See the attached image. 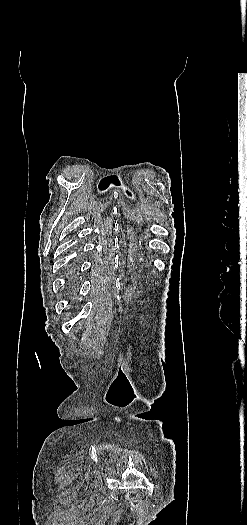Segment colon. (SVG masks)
<instances>
[{"label":"colon","instance_id":"5ec220e1","mask_svg":"<svg viewBox=\"0 0 247 525\" xmlns=\"http://www.w3.org/2000/svg\"><path fill=\"white\" fill-rule=\"evenodd\" d=\"M127 497L128 498L139 497V493L137 491H129L127 493Z\"/></svg>","mask_w":247,"mask_h":525}]
</instances>
